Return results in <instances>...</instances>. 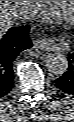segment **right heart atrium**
<instances>
[{"instance_id": "obj_1", "label": "right heart atrium", "mask_w": 74, "mask_h": 122, "mask_svg": "<svg viewBox=\"0 0 74 122\" xmlns=\"http://www.w3.org/2000/svg\"><path fill=\"white\" fill-rule=\"evenodd\" d=\"M29 2H38V1H29Z\"/></svg>"}]
</instances>
